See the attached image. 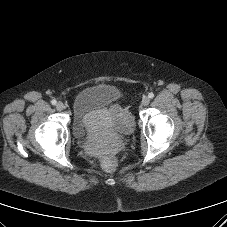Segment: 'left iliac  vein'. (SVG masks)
I'll return each instance as SVG.
<instances>
[{"instance_id":"left-iliac-vein-1","label":"left iliac vein","mask_w":227,"mask_h":227,"mask_svg":"<svg viewBox=\"0 0 227 227\" xmlns=\"http://www.w3.org/2000/svg\"><path fill=\"white\" fill-rule=\"evenodd\" d=\"M149 103H150L149 97H147V96L143 97V99H142V105L143 106H147Z\"/></svg>"}]
</instances>
